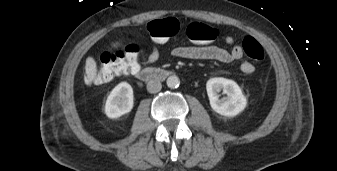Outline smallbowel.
Returning <instances> with one entry per match:
<instances>
[{"instance_id": "c3829d8e", "label": "small bowel", "mask_w": 337, "mask_h": 171, "mask_svg": "<svg viewBox=\"0 0 337 171\" xmlns=\"http://www.w3.org/2000/svg\"><path fill=\"white\" fill-rule=\"evenodd\" d=\"M224 42L227 45H232L234 39L231 36H225ZM172 55L179 59L188 60H214L222 63H231L240 60L243 57L242 48L234 46L231 49H225L217 45H205V46H177L173 48ZM160 53L156 45H154L149 54H141L142 62L147 65L154 64L159 59ZM240 69L244 74H251L254 72V65L244 60Z\"/></svg>"}]
</instances>
